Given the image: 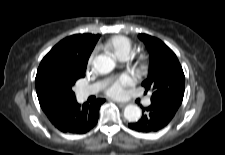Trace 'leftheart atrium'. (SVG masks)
Here are the masks:
<instances>
[{"mask_svg":"<svg viewBox=\"0 0 225 155\" xmlns=\"http://www.w3.org/2000/svg\"><path fill=\"white\" fill-rule=\"evenodd\" d=\"M134 83L135 78L132 75L122 74L108 83L106 87V93L114 97L122 96L125 89L129 86H132Z\"/></svg>","mask_w":225,"mask_h":155,"instance_id":"left-heart-atrium-1","label":"left heart atrium"}]
</instances>
